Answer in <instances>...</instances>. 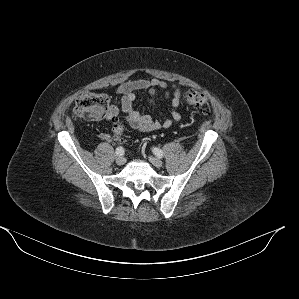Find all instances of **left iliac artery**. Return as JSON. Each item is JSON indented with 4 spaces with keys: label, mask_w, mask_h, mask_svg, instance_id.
Here are the masks:
<instances>
[{
    "label": "left iliac artery",
    "mask_w": 299,
    "mask_h": 299,
    "mask_svg": "<svg viewBox=\"0 0 299 299\" xmlns=\"http://www.w3.org/2000/svg\"><path fill=\"white\" fill-rule=\"evenodd\" d=\"M153 153H154L158 158H162V157L164 156L162 150L159 149V148H153Z\"/></svg>",
    "instance_id": "obj_1"
}]
</instances>
